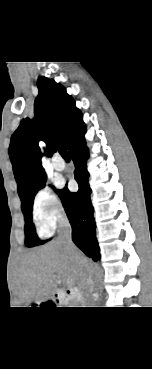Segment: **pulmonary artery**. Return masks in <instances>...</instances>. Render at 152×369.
<instances>
[{
    "instance_id": "pulmonary-artery-1",
    "label": "pulmonary artery",
    "mask_w": 152,
    "mask_h": 369,
    "mask_svg": "<svg viewBox=\"0 0 152 369\" xmlns=\"http://www.w3.org/2000/svg\"><path fill=\"white\" fill-rule=\"evenodd\" d=\"M53 167L57 171H63L65 169V163L60 156H55L53 159Z\"/></svg>"
}]
</instances>
